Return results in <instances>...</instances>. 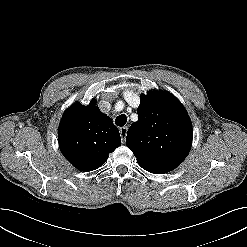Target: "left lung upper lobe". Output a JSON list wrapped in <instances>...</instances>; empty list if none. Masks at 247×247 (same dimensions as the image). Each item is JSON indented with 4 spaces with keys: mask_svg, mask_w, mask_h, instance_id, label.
<instances>
[{
    "mask_svg": "<svg viewBox=\"0 0 247 247\" xmlns=\"http://www.w3.org/2000/svg\"><path fill=\"white\" fill-rule=\"evenodd\" d=\"M126 144L143 169L169 172L188 155L192 124L179 100L169 92L149 91L142 95Z\"/></svg>",
    "mask_w": 247,
    "mask_h": 247,
    "instance_id": "left-lung-upper-lobe-1",
    "label": "left lung upper lobe"
}]
</instances>
